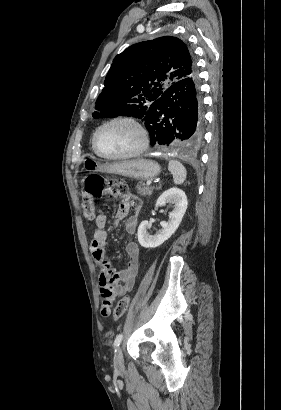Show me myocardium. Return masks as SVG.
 I'll return each instance as SVG.
<instances>
[{
    "label": "myocardium",
    "instance_id": "myocardium-1",
    "mask_svg": "<svg viewBox=\"0 0 281 410\" xmlns=\"http://www.w3.org/2000/svg\"><path fill=\"white\" fill-rule=\"evenodd\" d=\"M118 122H124V123H128L130 125H132L133 127L136 128V130L138 131L139 135H140V144L139 146L134 149L131 152H128L126 154H122V155H108L103 153L97 144V137L99 132L105 128L108 125L114 124V123H118ZM149 135H148V131L146 130V128L144 127V125L139 122L136 118L132 117V116H128V115H119L116 117H113L105 122H103L101 125H99L96 130L93 133L92 136V146L93 149L95 151V153L107 160H123V159H129V158H133L136 157L140 154H142L149 146Z\"/></svg>",
    "mask_w": 281,
    "mask_h": 410
}]
</instances>
